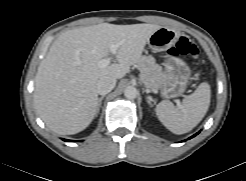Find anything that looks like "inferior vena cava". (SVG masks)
<instances>
[{
    "label": "inferior vena cava",
    "instance_id": "1",
    "mask_svg": "<svg viewBox=\"0 0 246 181\" xmlns=\"http://www.w3.org/2000/svg\"><path fill=\"white\" fill-rule=\"evenodd\" d=\"M116 85V79L113 77H102L101 79H99V81L97 82L96 88H97V92L100 95H105L107 93H109L110 91H112L114 89Z\"/></svg>",
    "mask_w": 246,
    "mask_h": 181
}]
</instances>
